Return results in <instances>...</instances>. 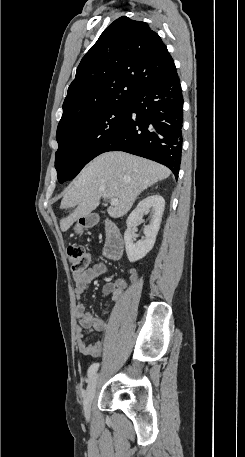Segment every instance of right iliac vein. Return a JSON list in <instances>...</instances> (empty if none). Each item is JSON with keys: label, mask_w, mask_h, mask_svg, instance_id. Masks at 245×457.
Instances as JSON below:
<instances>
[{"label": "right iliac vein", "mask_w": 245, "mask_h": 457, "mask_svg": "<svg viewBox=\"0 0 245 457\" xmlns=\"http://www.w3.org/2000/svg\"><path fill=\"white\" fill-rule=\"evenodd\" d=\"M97 377L98 374H94L90 380L89 384L87 386L86 392L84 394V399H83V408H84V413L86 417H89L90 412H91V405L95 396V391L97 387Z\"/></svg>", "instance_id": "right-iliac-vein-1"}]
</instances>
